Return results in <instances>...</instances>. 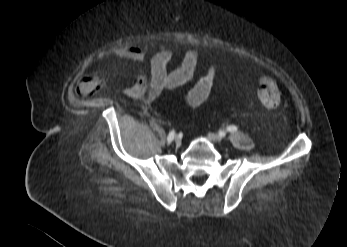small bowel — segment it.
Returning <instances> with one entry per match:
<instances>
[{"instance_id": "obj_1", "label": "small bowel", "mask_w": 347, "mask_h": 247, "mask_svg": "<svg viewBox=\"0 0 347 247\" xmlns=\"http://www.w3.org/2000/svg\"><path fill=\"white\" fill-rule=\"evenodd\" d=\"M174 53L175 50L172 47H165L157 51L149 63V76L143 72H138L134 82L123 88V94L134 100L144 99L151 102L164 91L174 90L189 82L194 76L198 63L199 51L197 47L188 48L180 65L169 71L167 67ZM117 56L135 63H142L145 60L144 51L137 46L121 48L117 51ZM216 73V65L211 63L205 75L184 96L183 101L188 108H197L208 99ZM102 84L103 79L101 77L87 76L78 83L77 89L80 94H86L94 91Z\"/></svg>"}]
</instances>
